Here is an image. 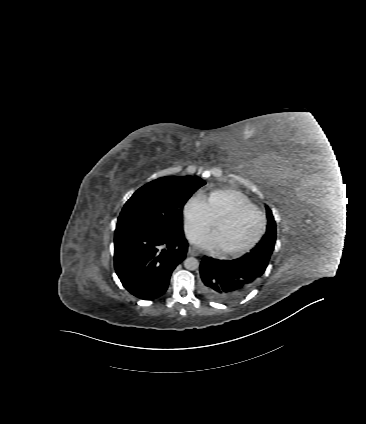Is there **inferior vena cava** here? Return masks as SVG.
<instances>
[{"label":"inferior vena cava","instance_id":"obj_1","mask_svg":"<svg viewBox=\"0 0 366 424\" xmlns=\"http://www.w3.org/2000/svg\"><path fill=\"white\" fill-rule=\"evenodd\" d=\"M185 235L186 238L190 241V242H195L196 241V234L192 229L186 228L185 229Z\"/></svg>","mask_w":366,"mask_h":424}]
</instances>
